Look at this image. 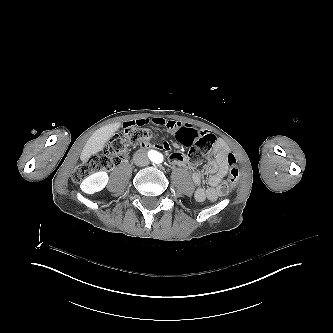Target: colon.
Returning <instances> with one entry per match:
<instances>
[{"instance_id":"obj_1","label":"colon","mask_w":333,"mask_h":333,"mask_svg":"<svg viewBox=\"0 0 333 333\" xmlns=\"http://www.w3.org/2000/svg\"><path fill=\"white\" fill-rule=\"evenodd\" d=\"M177 141L188 145L190 149V159L198 162L210 152L211 145L215 143L212 136H197L190 129L177 132ZM152 139L151 133L144 128L124 129L122 134L109 138L102 148V153L90 156L83 164L78 165L72 173V179L79 181L85 177L108 170L124 160L128 154L129 145H146ZM229 163V185L221 187L222 192H228L234 187L240 176V169L234 156H228Z\"/></svg>"}]
</instances>
